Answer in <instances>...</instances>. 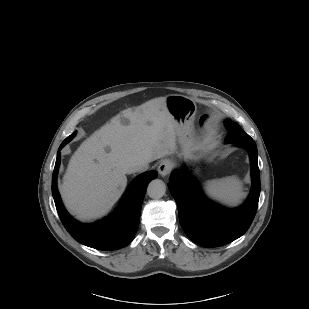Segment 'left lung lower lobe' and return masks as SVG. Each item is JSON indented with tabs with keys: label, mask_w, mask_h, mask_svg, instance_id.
<instances>
[{
	"label": "left lung lower lobe",
	"mask_w": 309,
	"mask_h": 309,
	"mask_svg": "<svg viewBox=\"0 0 309 309\" xmlns=\"http://www.w3.org/2000/svg\"><path fill=\"white\" fill-rule=\"evenodd\" d=\"M228 143L248 150L252 189L247 201L239 208L224 209L209 201L187 172H174L168 184L178 206L180 224L187 236L202 247H216L242 236L250 227L259 201L260 173L257 146L254 140L233 139Z\"/></svg>",
	"instance_id": "left-lung-lower-lobe-1"
}]
</instances>
